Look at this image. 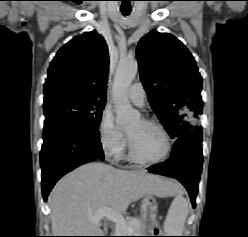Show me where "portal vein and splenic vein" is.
Here are the masks:
<instances>
[{
	"label": "portal vein and splenic vein",
	"mask_w": 248,
	"mask_h": 237,
	"mask_svg": "<svg viewBox=\"0 0 248 237\" xmlns=\"http://www.w3.org/2000/svg\"><path fill=\"white\" fill-rule=\"evenodd\" d=\"M107 218L108 220L114 222L116 224V227L117 228H126L127 227V223L126 221L124 220L123 216L108 208V207H103V208H100L94 216H91V220L93 222H99L102 218ZM129 231H131V229L129 228L128 229Z\"/></svg>",
	"instance_id": "portal-vein-and-splenic-vein-1"
}]
</instances>
